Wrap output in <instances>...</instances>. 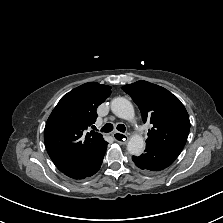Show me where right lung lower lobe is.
<instances>
[{"instance_id":"right-lung-lower-lobe-1","label":"right lung lower lobe","mask_w":223,"mask_h":223,"mask_svg":"<svg viewBox=\"0 0 223 223\" xmlns=\"http://www.w3.org/2000/svg\"><path fill=\"white\" fill-rule=\"evenodd\" d=\"M107 144L108 143L105 142L92 156H90L85 161L62 172L73 179H84L94 175L100 169L104 154L107 149Z\"/></svg>"}]
</instances>
